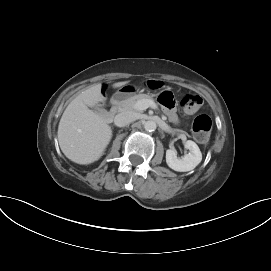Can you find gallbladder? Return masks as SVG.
I'll return each instance as SVG.
<instances>
[{
	"label": "gallbladder",
	"instance_id": "gallbladder-1",
	"mask_svg": "<svg viewBox=\"0 0 271 271\" xmlns=\"http://www.w3.org/2000/svg\"><path fill=\"white\" fill-rule=\"evenodd\" d=\"M94 112H96L100 116H104L106 114V111L104 109L97 108V107L94 108Z\"/></svg>",
	"mask_w": 271,
	"mask_h": 271
}]
</instances>
